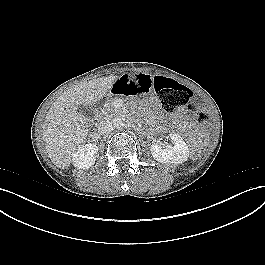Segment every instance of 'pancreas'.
I'll return each mask as SVG.
<instances>
[{"mask_svg":"<svg viewBox=\"0 0 265 265\" xmlns=\"http://www.w3.org/2000/svg\"><path fill=\"white\" fill-rule=\"evenodd\" d=\"M115 100L116 99H111L110 102H108V104L101 110L103 116L111 117L121 113V108L115 107Z\"/></svg>","mask_w":265,"mask_h":265,"instance_id":"1","label":"pancreas"}]
</instances>
